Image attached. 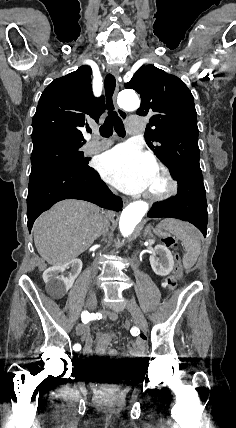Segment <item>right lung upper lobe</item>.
<instances>
[{
    "mask_svg": "<svg viewBox=\"0 0 236 428\" xmlns=\"http://www.w3.org/2000/svg\"><path fill=\"white\" fill-rule=\"evenodd\" d=\"M90 76L91 68L84 65L47 86L32 120L33 147L49 141H85L87 119L98 122L105 110L104 97L93 96Z\"/></svg>",
    "mask_w": 236,
    "mask_h": 428,
    "instance_id": "1",
    "label": "right lung upper lobe"
}]
</instances>
